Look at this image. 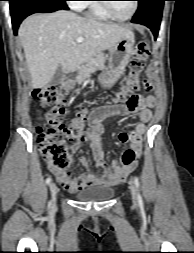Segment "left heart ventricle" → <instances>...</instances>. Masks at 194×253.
<instances>
[{"label":"left heart ventricle","instance_id":"1","mask_svg":"<svg viewBox=\"0 0 194 253\" xmlns=\"http://www.w3.org/2000/svg\"><path fill=\"white\" fill-rule=\"evenodd\" d=\"M109 6L117 16L127 17L133 9V1H114Z\"/></svg>","mask_w":194,"mask_h":253}]
</instances>
